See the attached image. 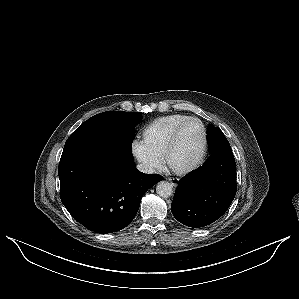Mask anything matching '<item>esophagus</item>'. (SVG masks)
Returning a JSON list of instances; mask_svg holds the SVG:
<instances>
[{"label":"esophagus","mask_w":299,"mask_h":299,"mask_svg":"<svg viewBox=\"0 0 299 299\" xmlns=\"http://www.w3.org/2000/svg\"><path fill=\"white\" fill-rule=\"evenodd\" d=\"M168 181L174 186L177 187L179 184V180L175 178H168Z\"/></svg>","instance_id":"obj_1"}]
</instances>
